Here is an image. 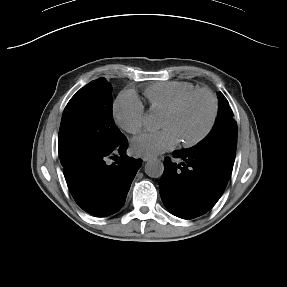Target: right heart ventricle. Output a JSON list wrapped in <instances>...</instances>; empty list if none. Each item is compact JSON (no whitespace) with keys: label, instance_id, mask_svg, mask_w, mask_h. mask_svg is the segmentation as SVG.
I'll return each mask as SVG.
<instances>
[{"label":"right heart ventricle","instance_id":"right-heart-ventricle-1","mask_svg":"<svg viewBox=\"0 0 287 287\" xmlns=\"http://www.w3.org/2000/svg\"><path fill=\"white\" fill-rule=\"evenodd\" d=\"M194 89L195 86L189 82L167 81L148 86L144 94L153 112L164 113L181 97Z\"/></svg>","mask_w":287,"mask_h":287}]
</instances>
